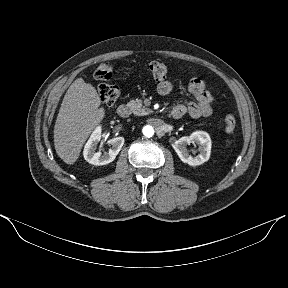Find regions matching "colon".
<instances>
[{"instance_id": "5ec220e1", "label": "colon", "mask_w": 288, "mask_h": 288, "mask_svg": "<svg viewBox=\"0 0 288 288\" xmlns=\"http://www.w3.org/2000/svg\"><path fill=\"white\" fill-rule=\"evenodd\" d=\"M145 69L147 73L156 80H163L168 74L166 64L158 61H150L146 63ZM114 70L109 64L100 65L95 71V77L98 80L106 81L113 77ZM98 94L102 102L107 105H113L120 97V88L116 85L100 84L97 87ZM224 126L227 132H233L237 126V118L234 113H229L224 118Z\"/></svg>"}]
</instances>
